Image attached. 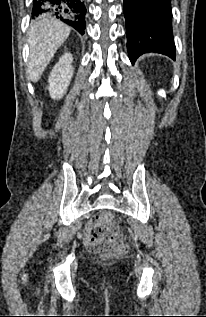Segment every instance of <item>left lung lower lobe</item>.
Segmentation results:
<instances>
[{
	"label": "left lung lower lobe",
	"mask_w": 206,
	"mask_h": 317,
	"mask_svg": "<svg viewBox=\"0 0 206 317\" xmlns=\"http://www.w3.org/2000/svg\"><path fill=\"white\" fill-rule=\"evenodd\" d=\"M127 48L130 61L149 52L175 59L171 0H124Z\"/></svg>",
	"instance_id": "1"
}]
</instances>
